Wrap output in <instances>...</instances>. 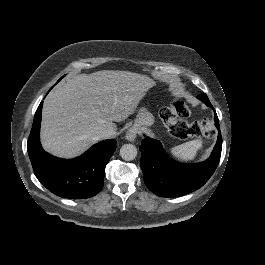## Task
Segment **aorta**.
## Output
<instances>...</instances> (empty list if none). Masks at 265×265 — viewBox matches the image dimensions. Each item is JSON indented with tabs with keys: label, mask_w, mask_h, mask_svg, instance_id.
<instances>
[{
	"label": "aorta",
	"mask_w": 265,
	"mask_h": 265,
	"mask_svg": "<svg viewBox=\"0 0 265 265\" xmlns=\"http://www.w3.org/2000/svg\"><path fill=\"white\" fill-rule=\"evenodd\" d=\"M120 156L125 161L134 160L137 156V148L132 144H124L120 149Z\"/></svg>",
	"instance_id": "obj_1"
}]
</instances>
